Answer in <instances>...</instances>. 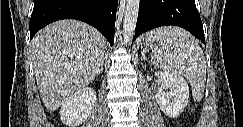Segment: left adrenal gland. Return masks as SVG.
<instances>
[{"instance_id": "a2214340", "label": "left adrenal gland", "mask_w": 243, "mask_h": 127, "mask_svg": "<svg viewBox=\"0 0 243 127\" xmlns=\"http://www.w3.org/2000/svg\"><path fill=\"white\" fill-rule=\"evenodd\" d=\"M141 60H142V61H147L144 52H141Z\"/></svg>"}]
</instances>
